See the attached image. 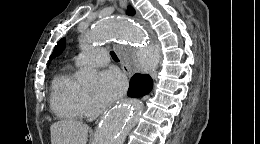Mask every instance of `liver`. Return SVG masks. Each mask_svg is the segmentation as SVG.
I'll return each mask as SVG.
<instances>
[{"label": "liver", "instance_id": "6515ba94", "mask_svg": "<svg viewBox=\"0 0 260 144\" xmlns=\"http://www.w3.org/2000/svg\"><path fill=\"white\" fill-rule=\"evenodd\" d=\"M89 127L79 121L64 119L50 127L51 144H87Z\"/></svg>", "mask_w": 260, "mask_h": 144}]
</instances>
